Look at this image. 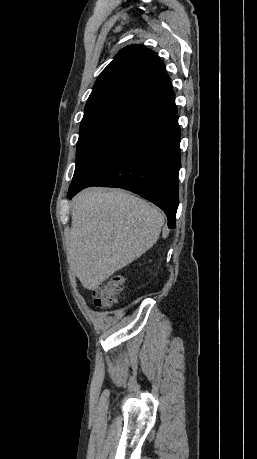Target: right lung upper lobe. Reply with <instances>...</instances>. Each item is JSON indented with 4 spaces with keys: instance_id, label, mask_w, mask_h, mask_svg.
<instances>
[{
    "instance_id": "1",
    "label": "right lung upper lobe",
    "mask_w": 257,
    "mask_h": 459,
    "mask_svg": "<svg viewBox=\"0 0 257 459\" xmlns=\"http://www.w3.org/2000/svg\"><path fill=\"white\" fill-rule=\"evenodd\" d=\"M170 91L172 85L159 57L145 46L130 45L99 75L84 114L114 107L138 112Z\"/></svg>"
}]
</instances>
